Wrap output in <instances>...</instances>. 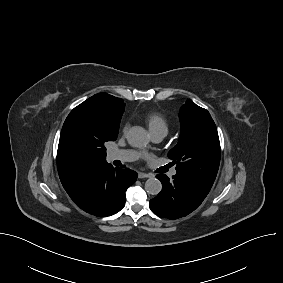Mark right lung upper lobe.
<instances>
[{
    "mask_svg": "<svg viewBox=\"0 0 283 283\" xmlns=\"http://www.w3.org/2000/svg\"><path fill=\"white\" fill-rule=\"evenodd\" d=\"M89 100H95L97 103L100 105L101 108L107 110V111H116L120 109L122 106L123 101L119 98H116L112 95H109L107 93H99L96 94L92 97L89 98ZM96 166V165H94ZM94 166H89V167H80V166H75L71 164H66L62 162L58 157H57V167H58V173L61 182L66 181L69 179L73 174L90 169Z\"/></svg>",
    "mask_w": 283,
    "mask_h": 283,
    "instance_id": "cb5924a9",
    "label": "right lung upper lobe"
}]
</instances>
